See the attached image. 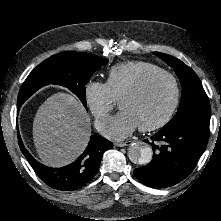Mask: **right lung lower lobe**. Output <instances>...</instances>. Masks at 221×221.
Wrapping results in <instances>:
<instances>
[{"instance_id": "right-lung-lower-lobe-1", "label": "right lung lower lobe", "mask_w": 221, "mask_h": 221, "mask_svg": "<svg viewBox=\"0 0 221 221\" xmlns=\"http://www.w3.org/2000/svg\"><path fill=\"white\" fill-rule=\"evenodd\" d=\"M18 137L22 153L39 178L51 188L62 191L78 190L89 183L99 169L103 153L113 147L112 142L100 135L91 136L86 150L75 162L62 168H51L36 161L23 146L19 133Z\"/></svg>"}]
</instances>
